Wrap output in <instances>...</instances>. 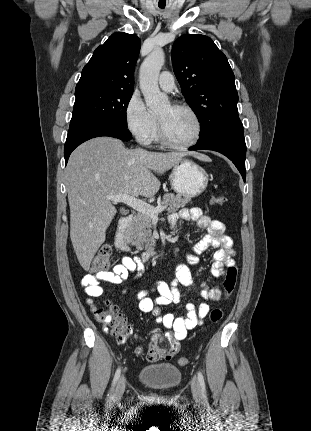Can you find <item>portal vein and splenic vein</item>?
I'll list each match as a JSON object with an SVG mask.
<instances>
[{
  "mask_svg": "<svg viewBox=\"0 0 311 431\" xmlns=\"http://www.w3.org/2000/svg\"><path fill=\"white\" fill-rule=\"evenodd\" d=\"M107 200H111L113 204H118V202H123V204H127L133 210H137V212H141V214H147L150 217H157L160 212H164L167 206H157V208H153L150 204H146V202H142V200H137V198H133V196H128V194H122V196H107Z\"/></svg>",
  "mask_w": 311,
  "mask_h": 431,
  "instance_id": "obj_1",
  "label": "portal vein and splenic vein"
}]
</instances>
